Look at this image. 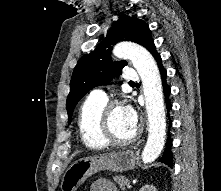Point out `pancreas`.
Returning <instances> with one entry per match:
<instances>
[{
	"instance_id": "pancreas-1",
	"label": "pancreas",
	"mask_w": 221,
	"mask_h": 191,
	"mask_svg": "<svg viewBox=\"0 0 221 191\" xmlns=\"http://www.w3.org/2000/svg\"><path fill=\"white\" fill-rule=\"evenodd\" d=\"M113 179L122 190H125L126 186H128L130 183L129 179L125 176H115Z\"/></svg>"
}]
</instances>
